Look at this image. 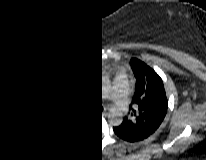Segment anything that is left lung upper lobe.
<instances>
[{
    "label": "left lung upper lobe",
    "instance_id": "obj_1",
    "mask_svg": "<svg viewBox=\"0 0 206 160\" xmlns=\"http://www.w3.org/2000/svg\"><path fill=\"white\" fill-rule=\"evenodd\" d=\"M136 78L135 94L128 117L121 127L142 136L153 133L167 112V98L163 83L148 66L131 63Z\"/></svg>",
    "mask_w": 206,
    "mask_h": 160
}]
</instances>
